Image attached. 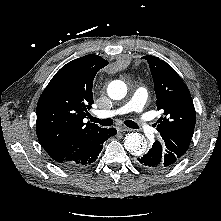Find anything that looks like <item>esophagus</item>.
<instances>
[{"instance_id": "34e87169", "label": "esophagus", "mask_w": 221, "mask_h": 221, "mask_svg": "<svg viewBox=\"0 0 221 221\" xmlns=\"http://www.w3.org/2000/svg\"><path fill=\"white\" fill-rule=\"evenodd\" d=\"M117 130H118L119 132H128V131H130L131 129H130V128H127V127H125V126L119 125V126H117Z\"/></svg>"}]
</instances>
